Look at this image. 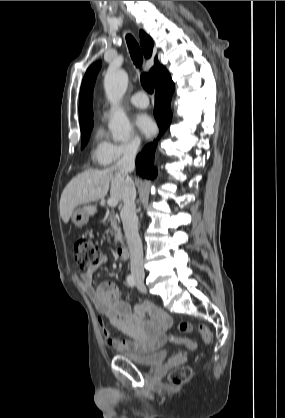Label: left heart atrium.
I'll use <instances>...</instances> for the list:
<instances>
[{"mask_svg":"<svg viewBox=\"0 0 285 418\" xmlns=\"http://www.w3.org/2000/svg\"><path fill=\"white\" fill-rule=\"evenodd\" d=\"M135 125L145 137L151 136L156 130V125L153 119L145 113H139L136 115Z\"/></svg>","mask_w":285,"mask_h":418,"instance_id":"1","label":"left heart atrium"}]
</instances>
